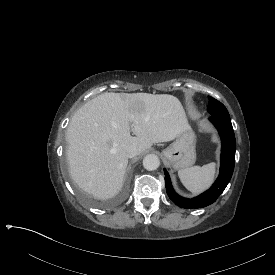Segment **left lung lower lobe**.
I'll list each match as a JSON object with an SVG mask.
<instances>
[{"label":"left lung lower lobe","mask_w":275,"mask_h":275,"mask_svg":"<svg viewBox=\"0 0 275 275\" xmlns=\"http://www.w3.org/2000/svg\"><path fill=\"white\" fill-rule=\"evenodd\" d=\"M209 120L217 128L222 141L220 173L212 187L201 195L188 199L173 189L168 172L164 169L165 186L169 198L184 209H197L214 203L228 185L234 170L236 141L231 119L211 115Z\"/></svg>","instance_id":"1"}]
</instances>
